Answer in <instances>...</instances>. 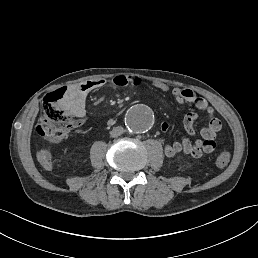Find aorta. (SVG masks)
<instances>
[{
	"mask_svg": "<svg viewBox=\"0 0 258 258\" xmlns=\"http://www.w3.org/2000/svg\"><path fill=\"white\" fill-rule=\"evenodd\" d=\"M125 123L130 133H144L153 125L154 115L149 107L138 105L128 111Z\"/></svg>",
	"mask_w": 258,
	"mask_h": 258,
	"instance_id": "aorta-1",
	"label": "aorta"
}]
</instances>
